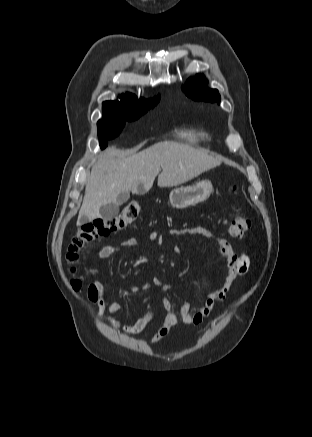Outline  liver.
I'll use <instances>...</instances> for the list:
<instances>
[{
	"label": "liver",
	"mask_w": 312,
	"mask_h": 437,
	"mask_svg": "<svg viewBox=\"0 0 312 437\" xmlns=\"http://www.w3.org/2000/svg\"><path fill=\"white\" fill-rule=\"evenodd\" d=\"M220 164V159L208 154L206 150L174 141L156 143L122 159L114 157L112 149L108 148L92 167L77 225L82 224L83 218L87 222L99 218L100 207L115 203L121 192H148L161 168L158 186L173 187Z\"/></svg>",
	"instance_id": "liver-1"
}]
</instances>
